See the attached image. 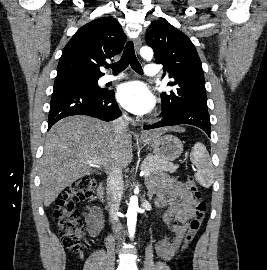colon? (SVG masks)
<instances>
[{"instance_id":"5ec220e1","label":"colon","mask_w":267,"mask_h":270,"mask_svg":"<svg viewBox=\"0 0 267 270\" xmlns=\"http://www.w3.org/2000/svg\"><path fill=\"white\" fill-rule=\"evenodd\" d=\"M186 185L196 201L194 215L185 234L182 250L186 251L194 242L206 214V204L202 200L201 192L193 179L189 176ZM95 182L90 177H83L73 182L56 200L54 220L63 245L74 253H81L84 249V227L76 204L91 197Z\"/></svg>"}]
</instances>
